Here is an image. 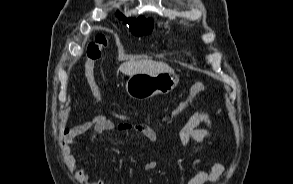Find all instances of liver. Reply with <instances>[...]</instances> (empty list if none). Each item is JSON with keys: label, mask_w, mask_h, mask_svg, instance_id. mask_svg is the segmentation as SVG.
Instances as JSON below:
<instances>
[{"label": "liver", "mask_w": 293, "mask_h": 184, "mask_svg": "<svg viewBox=\"0 0 293 184\" xmlns=\"http://www.w3.org/2000/svg\"><path fill=\"white\" fill-rule=\"evenodd\" d=\"M119 70L126 75H134L137 73H161L173 72V69L164 62H156L148 59H130L120 65Z\"/></svg>", "instance_id": "obj_1"}]
</instances>
